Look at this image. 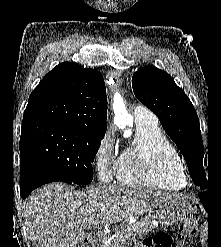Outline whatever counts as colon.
Masks as SVG:
<instances>
[{"mask_svg": "<svg viewBox=\"0 0 221 247\" xmlns=\"http://www.w3.org/2000/svg\"><path fill=\"white\" fill-rule=\"evenodd\" d=\"M198 227V215L196 213L191 214L184 219L180 225L179 233L176 237V242L166 235L157 234L151 238H148L145 243L148 247H190L192 237L196 233ZM78 247H90L87 242L80 244Z\"/></svg>", "mask_w": 221, "mask_h": 247, "instance_id": "1", "label": "colon"}]
</instances>
